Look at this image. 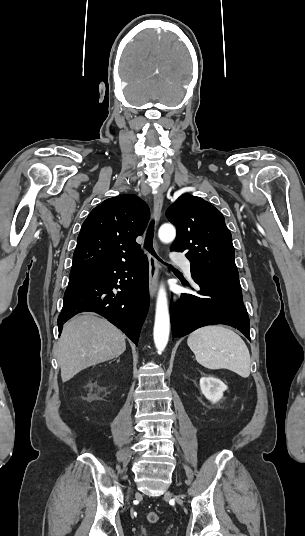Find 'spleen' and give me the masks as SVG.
Returning a JSON list of instances; mask_svg holds the SVG:
<instances>
[{"label":"spleen","instance_id":"1","mask_svg":"<svg viewBox=\"0 0 305 536\" xmlns=\"http://www.w3.org/2000/svg\"><path fill=\"white\" fill-rule=\"evenodd\" d=\"M187 344L204 368L231 370L241 378L250 376L249 350L240 336L225 326L199 328L190 334Z\"/></svg>","mask_w":305,"mask_h":536}]
</instances>
